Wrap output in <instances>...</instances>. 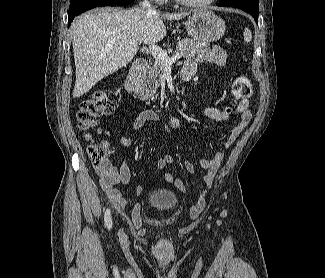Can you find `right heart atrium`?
Here are the masks:
<instances>
[{"instance_id": "1", "label": "right heart atrium", "mask_w": 325, "mask_h": 278, "mask_svg": "<svg viewBox=\"0 0 325 278\" xmlns=\"http://www.w3.org/2000/svg\"><path fill=\"white\" fill-rule=\"evenodd\" d=\"M155 1H157V2H164L165 0H155Z\"/></svg>"}]
</instances>
